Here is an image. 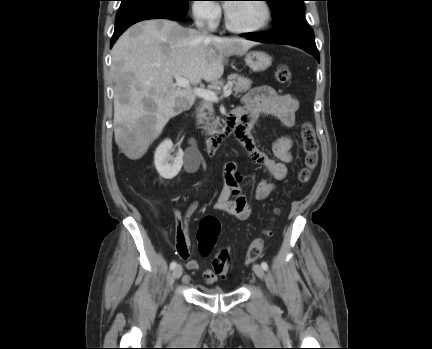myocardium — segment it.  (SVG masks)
<instances>
[{
  "label": "myocardium",
  "mask_w": 432,
  "mask_h": 349,
  "mask_svg": "<svg viewBox=\"0 0 432 349\" xmlns=\"http://www.w3.org/2000/svg\"><path fill=\"white\" fill-rule=\"evenodd\" d=\"M257 2H260L264 8L265 11V17L263 21L255 26L250 28H242L235 26L232 21L230 20V16L228 13V10L225 11V26L228 30L238 33V34H252V33H258L263 31L271 22L272 20V8L270 3L267 0H257Z\"/></svg>",
  "instance_id": "myocardium-1"
}]
</instances>
